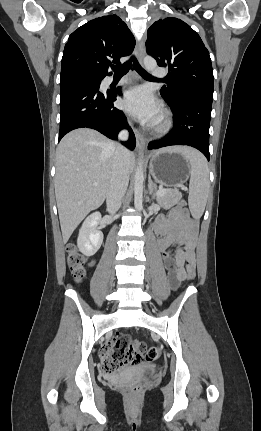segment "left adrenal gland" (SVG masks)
Listing matches in <instances>:
<instances>
[{
    "label": "left adrenal gland",
    "instance_id": "1",
    "mask_svg": "<svg viewBox=\"0 0 261 431\" xmlns=\"http://www.w3.org/2000/svg\"><path fill=\"white\" fill-rule=\"evenodd\" d=\"M156 190V185L152 182L151 177H148V192L151 195V198H155L154 191ZM147 201H149V198H147Z\"/></svg>",
    "mask_w": 261,
    "mask_h": 431
}]
</instances>
